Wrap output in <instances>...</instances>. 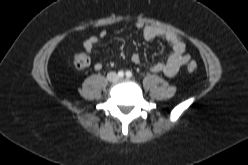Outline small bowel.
<instances>
[{
    "instance_id": "obj_1",
    "label": "small bowel",
    "mask_w": 248,
    "mask_h": 165,
    "mask_svg": "<svg viewBox=\"0 0 248 165\" xmlns=\"http://www.w3.org/2000/svg\"><path fill=\"white\" fill-rule=\"evenodd\" d=\"M136 26L142 31L146 40L162 39L172 48V53L166 60L157 61L151 66L153 72H161L168 77H173L178 73L182 66L186 65L191 60L190 55L186 53L185 42L178 34L153 25L138 23ZM107 35V30H101L98 35L88 37L83 41V49L91 54L99 40L106 38ZM131 61L136 65H141L143 63L142 57L138 53H133L131 55ZM92 65L95 70H101L103 68V64L99 61L94 62Z\"/></svg>"
}]
</instances>
